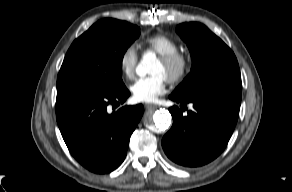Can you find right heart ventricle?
<instances>
[{"label":"right heart ventricle","mask_w":292,"mask_h":192,"mask_svg":"<svg viewBox=\"0 0 292 192\" xmlns=\"http://www.w3.org/2000/svg\"><path fill=\"white\" fill-rule=\"evenodd\" d=\"M147 49L162 55H169L179 51L178 43L170 36L164 34H155L149 36L144 41Z\"/></svg>","instance_id":"right-heart-ventricle-1"}]
</instances>
